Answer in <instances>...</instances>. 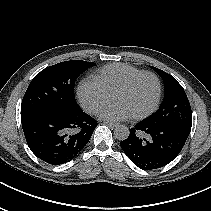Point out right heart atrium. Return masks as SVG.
<instances>
[{
	"mask_svg": "<svg viewBox=\"0 0 211 211\" xmlns=\"http://www.w3.org/2000/svg\"><path fill=\"white\" fill-rule=\"evenodd\" d=\"M78 98L86 111L97 113L110 100V93L95 78H86L78 86Z\"/></svg>",
	"mask_w": 211,
	"mask_h": 211,
	"instance_id": "right-heart-atrium-1",
	"label": "right heart atrium"
}]
</instances>
